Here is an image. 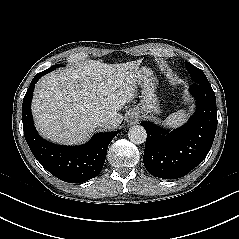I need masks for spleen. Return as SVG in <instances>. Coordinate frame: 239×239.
<instances>
[{
  "instance_id": "3e777b00",
  "label": "spleen",
  "mask_w": 239,
  "mask_h": 239,
  "mask_svg": "<svg viewBox=\"0 0 239 239\" xmlns=\"http://www.w3.org/2000/svg\"><path fill=\"white\" fill-rule=\"evenodd\" d=\"M187 114L184 110H179L176 113L171 114L166 120L165 124L172 128H176L181 126L183 123L186 122Z\"/></svg>"
}]
</instances>
